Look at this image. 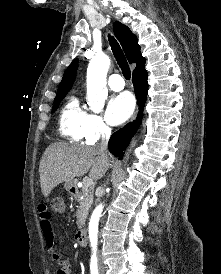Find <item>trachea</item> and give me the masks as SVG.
<instances>
[{"label": "trachea", "instance_id": "3493384b", "mask_svg": "<svg viewBox=\"0 0 221 274\" xmlns=\"http://www.w3.org/2000/svg\"><path fill=\"white\" fill-rule=\"evenodd\" d=\"M109 42H110V46L112 49V52L114 54L115 59L117 60L123 76L127 79L130 80L131 78V71L129 68V65L127 63V60L124 56V53L120 47V45L118 44V42L116 41V39L113 36H109Z\"/></svg>", "mask_w": 221, "mask_h": 274}]
</instances>
